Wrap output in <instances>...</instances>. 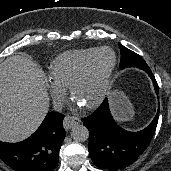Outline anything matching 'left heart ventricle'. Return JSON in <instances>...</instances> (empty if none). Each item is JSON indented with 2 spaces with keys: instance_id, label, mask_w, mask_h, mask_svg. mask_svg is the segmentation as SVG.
Wrapping results in <instances>:
<instances>
[{
  "instance_id": "b2bd125f",
  "label": "left heart ventricle",
  "mask_w": 171,
  "mask_h": 171,
  "mask_svg": "<svg viewBox=\"0 0 171 171\" xmlns=\"http://www.w3.org/2000/svg\"><path fill=\"white\" fill-rule=\"evenodd\" d=\"M113 62L110 51L100 52L93 60L87 74L78 83L73 92V98L81 105L92 102L100 93L103 79Z\"/></svg>"
}]
</instances>
